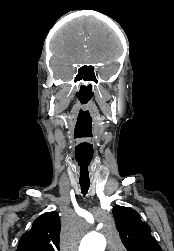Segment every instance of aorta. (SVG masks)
I'll return each instance as SVG.
<instances>
[{
    "instance_id": "1",
    "label": "aorta",
    "mask_w": 174,
    "mask_h": 251,
    "mask_svg": "<svg viewBox=\"0 0 174 251\" xmlns=\"http://www.w3.org/2000/svg\"><path fill=\"white\" fill-rule=\"evenodd\" d=\"M104 235L99 233L87 234L80 244L79 251H104L108 243L114 250H120V241L114 229Z\"/></svg>"
}]
</instances>
